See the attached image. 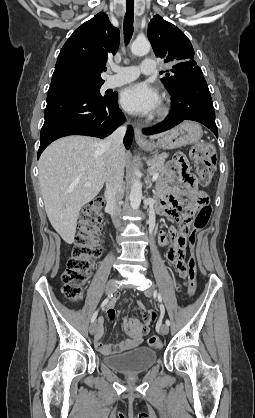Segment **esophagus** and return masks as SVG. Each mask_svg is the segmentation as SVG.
<instances>
[{"instance_id":"1","label":"esophagus","mask_w":255,"mask_h":418,"mask_svg":"<svg viewBox=\"0 0 255 418\" xmlns=\"http://www.w3.org/2000/svg\"><path fill=\"white\" fill-rule=\"evenodd\" d=\"M135 140L138 144H144L147 142L146 138L143 136L142 131L139 127L134 128Z\"/></svg>"}]
</instances>
